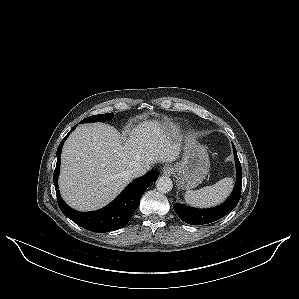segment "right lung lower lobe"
Returning <instances> with one entry per match:
<instances>
[{
	"label": "right lung lower lobe",
	"mask_w": 299,
	"mask_h": 299,
	"mask_svg": "<svg viewBox=\"0 0 299 299\" xmlns=\"http://www.w3.org/2000/svg\"><path fill=\"white\" fill-rule=\"evenodd\" d=\"M75 128L76 125L70 130V132ZM70 132L64 137L57 149V163L53 175V182L60 209L69 219L89 231L104 233L124 227L138 207L141 196L145 190L158 178L159 172L151 171L134 180L111 204L101 210L95 212H78L73 210L60 197L57 183L62 146Z\"/></svg>",
	"instance_id": "98d812e1"
}]
</instances>
